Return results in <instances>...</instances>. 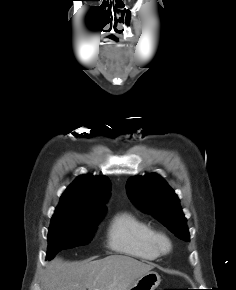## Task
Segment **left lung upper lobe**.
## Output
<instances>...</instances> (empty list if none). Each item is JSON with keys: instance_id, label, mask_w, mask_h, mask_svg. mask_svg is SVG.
Instances as JSON below:
<instances>
[{"instance_id": "left-lung-upper-lobe-1", "label": "left lung upper lobe", "mask_w": 236, "mask_h": 290, "mask_svg": "<svg viewBox=\"0 0 236 290\" xmlns=\"http://www.w3.org/2000/svg\"><path fill=\"white\" fill-rule=\"evenodd\" d=\"M126 189L131 201L141 211L159 220L178 238L190 240L179 199L162 177L157 174L131 177Z\"/></svg>"}]
</instances>
